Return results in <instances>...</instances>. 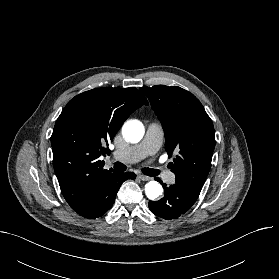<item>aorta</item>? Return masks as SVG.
<instances>
[{"label":"aorta","instance_id":"762f6f07","mask_svg":"<svg viewBox=\"0 0 279 279\" xmlns=\"http://www.w3.org/2000/svg\"><path fill=\"white\" fill-rule=\"evenodd\" d=\"M122 134L128 142L137 143L143 138L144 126L137 120L127 121L122 127ZM162 192V186L156 181H149L145 185V193L150 200L156 199Z\"/></svg>","mask_w":279,"mask_h":279}]
</instances>
